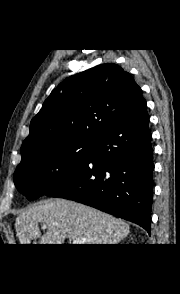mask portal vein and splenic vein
I'll list each match as a JSON object with an SVG mask.
<instances>
[{
  "label": "portal vein and splenic vein",
  "instance_id": "18ae733b",
  "mask_svg": "<svg viewBox=\"0 0 180 294\" xmlns=\"http://www.w3.org/2000/svg\"><path fill=\"white\" fill-rule=\"evenodd\" d=\"M43 228H46V224H43ZM84 243V240H80L78 238L72 239V244H82Z\"/></svg>",
  "mask_w": 180,
  "mask_h": 294
}]
</instances>
